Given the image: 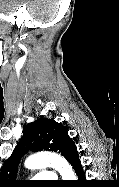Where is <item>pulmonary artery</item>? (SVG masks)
I'll return each instance as SVG.
<instances>
[{"mask_svg": "<svg viewBox=\"0 0 119 187\" xmlns=\"http://www.w3.org/2000/svg\"><path fill=\"white\" fill-rule=\"evenodd\" d=\"M35 179H43V180H52L56 178V175L53 172H41L37 174Z\"/></svg>", "mask_w": 119, "mask_h": 187, "instance_id": "obj_1", "label": "pulmonary artery"}]
</instances>
